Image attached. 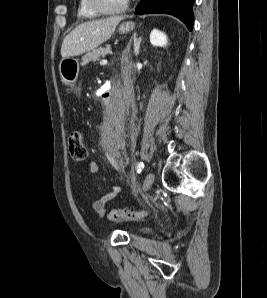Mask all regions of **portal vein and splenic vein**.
I'll list each match as a JSON object with an SVG mask.
<instances>
[{
	"label": "portal vein and splenic vein",
	"mask_w": 267,
	"mask_h": 298,
	"mask_svg": "<svg viewBox=\"0 0 267 298\" xmlns=\"http://www.w3.org/2000/svg\"><path fill=\"white\" fill-rule=\"evenodd\" d=\"M104 62H106V60H102L100 63H104Z\"/></svg>",
	"instance_id": "portal-vein-and-splenic-vein-1"
}]
</instances>
